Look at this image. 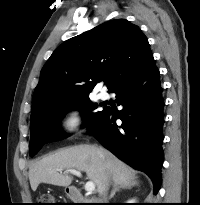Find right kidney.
I'll return each instance as SVG.
<instances>
[{
  "label": "right kidney",
  "instance_id": "ca27d5eb",
  "mask_svg": "<svg viewBox=\"0 0 200 205\" xmlns=\"http://www.w3.org/2000/svg\"><path fill=\"white\" fill-rule=\"evenodd\" d=\"M135 202H136L135 199L128 201V203H135Z\"/></svg>",
  "mask_w": 200,
  "mask_h": 205
}]
</instances>
